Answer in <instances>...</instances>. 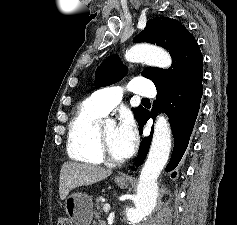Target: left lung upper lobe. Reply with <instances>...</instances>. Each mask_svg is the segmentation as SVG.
Wrapping results in <instances>:
<instances>
[{
	"label": "left lung upper lobe",
	"instance_id": "left-lung-upper-lobe-1",
	"mask_svg": "<svg viewBox=\"0 0 237 225\" xmlns=\"http://www.w3.org/2000/svg\"><path fill=\"white\" fill-rule=\"evenodd\" d=\"M134 42H148L166 48L172 57L169 69L145 68L141 75L151 79L157 89L178 87L203 76V57L194 36L177 20L169 17L147 21L145 29ZM118 56L108 57L96 70L95 85L108 86L120 81L127 73ZM143 107L133 108L138 121Z\"/></svg>",
	"mask_w": 237,
	"mask_h": 225
}]
</instances>
